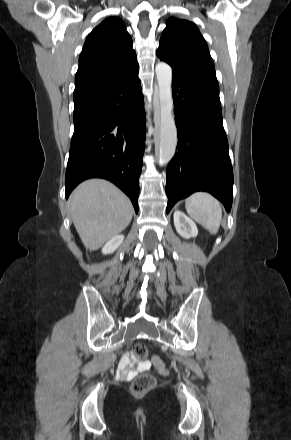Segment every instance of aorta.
<instances>
[{
    "label": "aorta",
    "instance_id": "aorta-1",
    "mask_svg": "<svg viewBox=\"0 0 291 440\" xmlns=\"http://www.w3.org/2000/svg\"><path fill=\"white\" fill-rule=\"evenodd\" d=\"M155 72L160 103L159 163L165 165L173 158L178 141L173 115L172 69L167 63L159 62L155 67Z\"/></svg>",
    "mask_w": 291,
    "mask_h": 440
}]
</instances>
